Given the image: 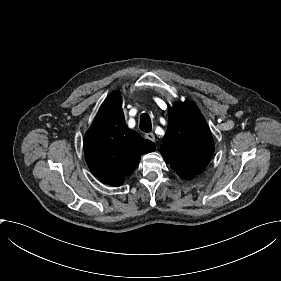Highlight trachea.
Returning a JSON list of instances; mask_svg holds the SVG:
<instances>
[{
    "instance_id": "1",
    "label": "trachea",
    "mask_w": 281,
    "mask_h": 281,
    "mask_svg": "<svg viewBox=\"0 0 281 281\" xmlns=\"http://www.w3.org/2000/svg\"><path fill=\"white\" fill-rule=\"evenodd\" d=\"M151 118L147 113L140 116V129L146 133L151 131Z\"/></svg>"
}]
</instances>
